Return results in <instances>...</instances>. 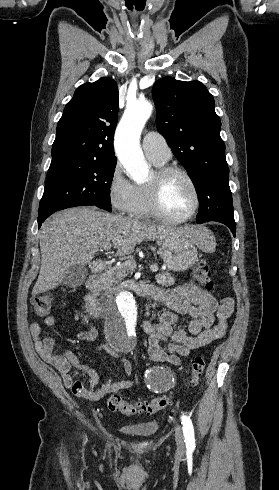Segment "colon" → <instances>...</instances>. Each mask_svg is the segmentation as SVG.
Wrapping results in <instances>:
<instances>
[{
  "instance_id": "1",
  "label": "colon",
  "mask_w": 279,
  "mask_h": 490,
  "mask_svg": "<svg viewBox=\"0 0 279 490\" xmlns=\"http://www.w3.org/2000/svg\"><path fill=\"white\" fill-rule=\"evenodd\" d=\"M194 276L205 290H212L214 288V280L205 260H201L195 265ZM31 305L32 313L40 317L49 315L54 308L53 299L48 293L35 295L32 299ZM204 369L205 361L202 357H196L192 360L190 381L193 385L198 383ZM169 404L170 399L167 396H161L140 402L125 401L116 393L110 394L107 398V408L110 411L129 416L151 415L168 407Z\"/></svg>"
}]
</instances>
